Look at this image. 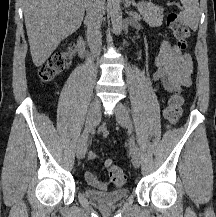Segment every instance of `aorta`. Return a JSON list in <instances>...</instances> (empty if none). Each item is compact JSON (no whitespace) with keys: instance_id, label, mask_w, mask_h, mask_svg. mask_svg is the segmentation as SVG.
Returning <instances> with one entry per match:
<instances>
[{"instance_id":"1","label":"aorta","mask_w":216,"mask_h":217,"mask_svg":"<svg viewBox=\"0 0 216 217\" xmlns=\"http://www.w3.org/2000/svg\"><path fill=\"white\" fill-rule=\"evenodd\" d=\"M110 16H111L113 32L118 35L122 31V25H123L120 0H112Z\"/></svg>"}]
</instances>
